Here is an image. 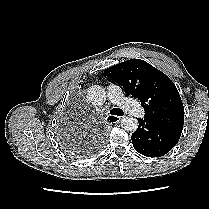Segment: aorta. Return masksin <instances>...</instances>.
Wrapping results in <instances>:
<instances>
[{
	"label": "aorta",
	"instance_id": "1",
	"mask_svg": "<svg viewBox=\"0 0 209 209\" xmlns=\"http://www.w3.org/2000/svg\"><path fill=\"white\" fill-rule=\"evenodd\" d=\"M87 100L93 105H102L106 101V90L99 85L87 89ZM121 126L125 131L134 132L138 128V121L134 117L126 116L121 120Z\"/></svg>",
	"mask_w": 209,
	"mask_h": 209
}]
</instances>
